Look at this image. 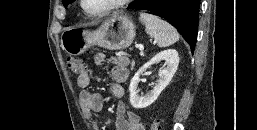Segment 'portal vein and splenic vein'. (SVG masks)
<instances>
[{"label":"portal vein and splenic vein","instance_id":"obj_1","mask_svg":"<svg viewBox=\"0 0 257 130\" xmlns=\"http://www.w3.org/2000/svg\"><path fill=\"white\" fill-rule=\"evenodd\" d=\"M137 48L140 50V51H143L144 50V47L142 45H137Z\"/></svg>","mask_w":257,"mask_h":130}]
</instances>
